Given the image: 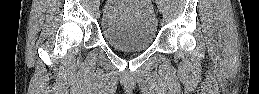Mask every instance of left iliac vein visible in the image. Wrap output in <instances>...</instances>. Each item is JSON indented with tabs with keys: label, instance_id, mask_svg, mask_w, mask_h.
<instances>
[{
	"label": "left iliac vein",
	"instance_id": "obj_1",
	"mask_svg": "<svg viewBox=\"0 0 259 94\" xmlns=\"http://www.w3.org/2000/svg\"><path fill=\"white\" fill-rule=\"evenodd\" d=\"M157 5H158V8H159V11H162V3H161V1H157Z\"/></svg>",
	"mask_w": 259,
	"mask_h": 94
}]
</instances>
